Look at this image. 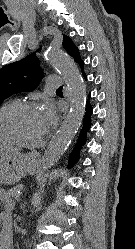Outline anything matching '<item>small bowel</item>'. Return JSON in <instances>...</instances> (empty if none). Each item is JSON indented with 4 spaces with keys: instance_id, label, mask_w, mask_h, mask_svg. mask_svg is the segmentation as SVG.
<instances>
[{
    "instance_id": "1",
    "label": "small bowel",
    "mask_w": 135,
    "mask_h": 249,
    "mask_svg": "<svg viewBox=\"0 0 135 249\" xmlns=\"http://www.w3.org/2000/svg\"><path fill=\"white\" fill-rule=\"evenodd\" d=\"M11 205V204H10ZM4 218L5 219H7L8 218V216H9V210L8 209H6L5 211H4ZM3 222V221H2ZM0 236H2V233H0Z\"/></svg>"
}]
</instances>
